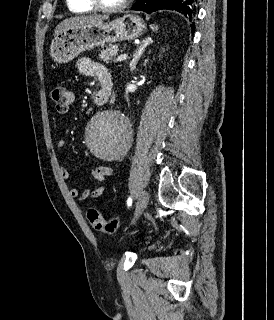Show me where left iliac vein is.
Instances as JSON below:
<instances>
[{"mask_svg": "<svg viewBox=\"0 0 274 320\" xmlns=\"http://www.w3.org/2000/svg\"><path fill=\"white\" fill-rule=\"evenodd\" d=\"M149 202V195L146 191H142L139 199L137 201L136 210L134 213V218L132 220V224L135 223V221L138 219V217L142 214L144 209L147 207V204Z\"/></svg>", "mask_w": 274, "mask_h": 320, "instance_id": "4c4485c4", "label": "left iliac vein"}]
</instances>
